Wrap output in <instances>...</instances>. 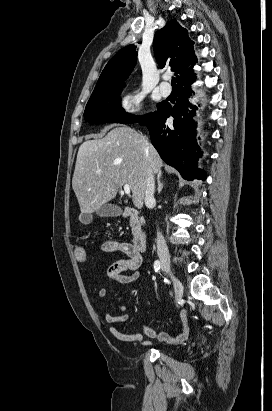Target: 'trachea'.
<instances>
[{"mask_svg": "<svg viewBox=\"0 0 272 411\" xmlns=\"http://www.w3.org/2000/svg\"><path fill=\"white\" fill-rule=\"evenodd\" d=\"M171 84H172V86H175V85H176V79H175V77H172Z\"/></svg>", "mask_w": 272, "mask_h": 411, "instance_id": "1", "label": "trachea"}]
</instances>
